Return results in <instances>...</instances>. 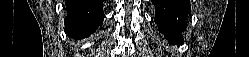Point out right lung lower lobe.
<instances>
[{
    "label": "right lung lower lobe",
    "instance_id": "98d812e1",
    "mask_svg": "<svg viewBox=\"0 0 249 57\" xmlns=\"http://www.w3.org/2000/svg\"><path fill=\"white\" fill-rule=\"evenodd\" d=\"M102 0H67L66 30L77 39L92 34L103 22Z\"/></svg>",
    "mask_w": 249,
    "mask_h": 57
}]
</instances>
